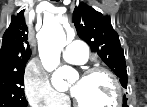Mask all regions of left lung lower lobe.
<instances>
[{
  "instance_id": "0a47b994",
  "label": "left lung lower lobe",
  "mask_w": 147,
  "mask_h": 107,
  "mask_svg": "<svg viewBox=\"0 0 147 107\" xmlns=\"http://www.w3.org/2000/svg\"><path fill=\"white\" fill-rule=\"evenodd\" d=\"M123 106L124 107L126 106V99H124V101H123Z\"/></svg>"
}]
</instances>
